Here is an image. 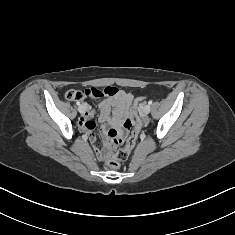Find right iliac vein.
I'll return each instance as SVG.
<instances>
[{
  "instance_id": "1",
  "label": "right iliac vein",
  "mask_w": 235,
  "mask_h": 235,
  "mask_svg": "<svg viewBox=\"0 0 235 235\" xmlns=\"http://www.w3.org/2000/svg\"><path fill=\"white\" fill-rule=\"evenodd\" d=\"M78 110L81 114L85 113V107L83 105H80Z\"/></svg>"
}]
</instances>
